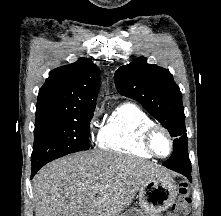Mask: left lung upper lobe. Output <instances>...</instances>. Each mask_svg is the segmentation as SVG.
I'll use <instances>...</instances> for the list:
<instances>
[{
	"label": "left lung upper lobe",
	"mask_w": 221,
	"mask_h": 216,
	"mask_svg": "<svg viewBox=\"0 0 221 216\" xmlns=\"http://www.w3.org/2000/svg\"><path fill=\"white\" fill-rule=\"evenodd\" d=\"M120 94L137 100L170 135L174 150L187 151V134L182 94L169 70L147 64L141 57L120 67L114 75ZM170 158L164 163L168 164Z\"/></svg>",
	"instance_id": "left-lung-upper-lobe-1"
}]
</instances>
